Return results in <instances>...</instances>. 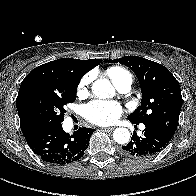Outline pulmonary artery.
Here are the masks:
<instances>
[{
	"instance_id": "pulmonary-artery-1",
	"label": "pulmonary artery",
	"mask_w": 196,
	"mask_h": 196,
	"mask_svg": "<svg viewBox=\"0 0 196 196\" xmlns=\"http://www.w3.org/2000/svg\"><path fill=\"white\" fill-rule=\"evenodd\" d=\"M131 83H132V79L129 78L123 82H121L120 84L117 85V89L122 92V93H125V92H128L131 88ZM143 128V127H142Z\"/></svg>"
}]
</instances>
